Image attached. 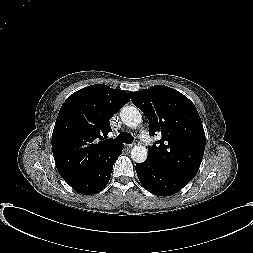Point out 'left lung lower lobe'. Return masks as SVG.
I'll list each match as a JSON object with an SVG mask.
<instances>
[{"label": "left lung lower lobe", "instance_id": "obj_1", "mask_svg": "<svg viewBox=\"0 0 253 253\" xmlns=\"http://www.w3.org/2000/svg\"><path fill=\"white\" fill-rule=\"evenodd\" d=\"M135 169L140 183L149 192L158 196L173 195L191 181L186 177L161 167L148 158L145 162L136 164Z\"/></svg>", "mask_w": 253, "mask_h": 253}]
</instances>
